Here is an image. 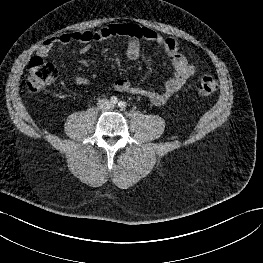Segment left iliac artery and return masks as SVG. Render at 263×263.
Listing matches in <instances>:
<instances>
[{"mask_svg": "<svg viewBox=\"0 0 263 263\" xmlns=\"http://www.w3.org/2000/svg\"><path fill=\"white\" fill-rule=\"evenodd\" d=\"M118 106L121 108V109H124L126 107V102L125 101H120L118 103Z\"/></svg>", "mask_w": 263, "mask_h": 263, "instance_id": "left-iliac-artery-1", "label": "left iliac artery"}]
</instances>
